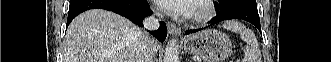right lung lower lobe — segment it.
Instances as JSON below:
<instances>
[{
  "label": "right lung lower lobe",
  "mask_w": 331,
  "mask_h": 62,
  "mask_svg": "<svg viewBox=\"0 0 331 62\" xmlns=\"http://www.w3.org/2000/svg\"><path fill=\"white\" fill-rule=\"evenodd\" d=\"M97 8L120 14L141 27L143 26V19L151 15L146 0H70L67 27L78 14ZM150 33L160 42H163L167 36L165 23L161 22L160 28L156 31H150Z\"/></svg>",
  "instance_id": "1"
}]
</instances>
